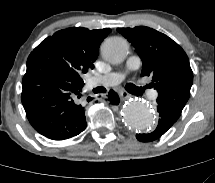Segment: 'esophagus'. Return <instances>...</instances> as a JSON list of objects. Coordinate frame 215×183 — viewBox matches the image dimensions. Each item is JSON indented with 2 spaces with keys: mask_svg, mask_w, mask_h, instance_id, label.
<instances>
[{
  "mask_svg": "<svg viewBox=\"0 0 215 183\" xmlns=\"http://www.w3.org/2000/svg\"><path fill=\"white\" fill-rule=\"evenodd\" d=\"M121 97L124 98V99H127V98L130 97V95H129V93H127V92H122V93H121Z\"/></svg>",
  "mask_w": 215,
  "mask_h": 183,
  "instance_id": "obj_1",
  "label": "esophagus"
}]
</instances>
